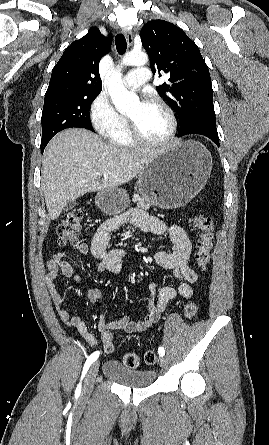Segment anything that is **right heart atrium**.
Masks as SVG:
<instances>
[{
	"mask_svg": "<svg viewBox=\"0 0 269 445\" xmlns=\"http://www.w3.org/2000/svg\"><path fill=\"white\" fill-rule=\"evenodd\" d=\"M89 116L93 127L101 134H106L121 120V116L105 92L98 94L91 102Z\"/></svg>",
	"mask_w": 269,
	"mask_h": 445,
	"instance_id": "right-heart-atrium-1",
	"label": "right heart atrium"
}]
</instances>
